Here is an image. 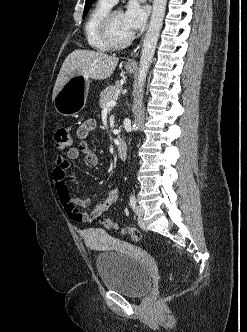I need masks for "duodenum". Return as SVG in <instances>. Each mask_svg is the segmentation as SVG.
<instances>
[{
    "mask_svg": "<svg viewBox=\"0 0 247 332\" xmlns=\"http://www.w3.org/2000/svg\"><path fill=\"white\" fill-rule=\"evenodd\" d=\"M117 154H118L120 159H125L126 158V156H127V145L124 141H121L117 145Z\"/></svg>",
    "mask_w": 247,
    "mask_h": 332,
    "instance_id": "duodenum-1",
    "label": "duodenum"
}]
</instances>
